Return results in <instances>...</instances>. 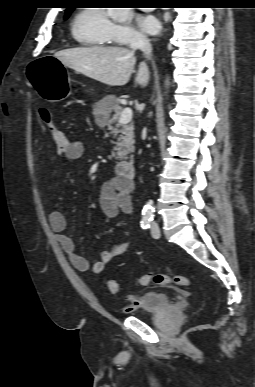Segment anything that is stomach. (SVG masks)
<instances>
[{"label":"stomach","mask_w":255,"mask_h":387,"mask_svg":"<svg viewBox=\"0 0 255 387\" xmlns=\"http://www.w3.org/2000/svg\"><path fill=\"white\" fill-rule=\"evenodd\" d=\"M25 73L33 91H38V95H43L49 102H57L68 91H74L67 68L56 55H37L36 61H30V66H25Z\"/></svg>","instance_id":"stomach-1"}]
</instances>
